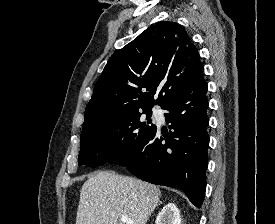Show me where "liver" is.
Here are the masks:
<instances>
[{"mask_svg": "<svg viewBox=\"0 0 275 224\" xmlns=\"http://www.w3.org/2000/svg\"><path fill=\"white\" fill-rule=\"evenodd\" d=\"M160 196L155 185L101 171L90 176L81 188L76 224H120L122 216L133 224H146Z\"/></svg>", "mask_w": 275, "mask_h": 224, "instance_id": "1", "label": "liver"}]
</instances>
